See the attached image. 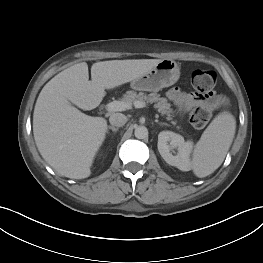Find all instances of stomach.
<instances>
[{
    "instance_id": "obj_1",
    "label": "stomach",
    "mask_w": 263,
    "mask_h": 263,
    "mask_svg": "<svg viewBox=\"0 0 263 263\" xmlns=\"http://www.w3.org/2000/svg\"><path fill=\"white\" fill-rule=\"evenodd\" d=\"M180 77V69L172 59H163L151 70L131 81V88L137 91L157 92L175 84Z\"/></svg>"
}]
</instances>
